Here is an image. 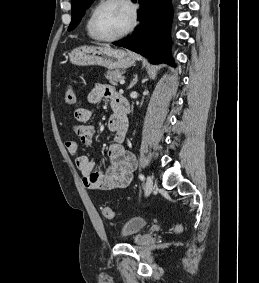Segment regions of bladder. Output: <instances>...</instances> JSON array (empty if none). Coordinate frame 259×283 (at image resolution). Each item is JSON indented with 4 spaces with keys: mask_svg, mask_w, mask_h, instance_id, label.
<instances>
[{
    "mask_svg": "<svg viewBox=\"0 0 259 283\" xmlns=\"http://www.w3.org/2000/svg\"><path fill=\"white\" fill-rule=\"evenodd\" d=\"M147 226V220L141 217H134L126 221L120 230V237L123 239L130 238Z\"/></svg>",
    "mask_w": 259,
    "mask_h": 283,
    "instance_id": "obj_1",
    "label": "bladder"
}]
</instances>
